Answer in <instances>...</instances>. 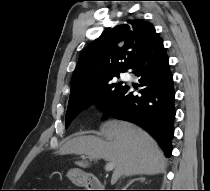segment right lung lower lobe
Masks as SVG:
<instances>
[{
    "label": "right lung lower lobe",
    "instance_id": "right-lung-lower-lobe-1",
    "mask_svg": "<svg viewBox=\"0 0 210 191\" xmlns=\"http://www.w3.org/2000/svg\"><path fill=\"white\" fill-rule=\"evenodd\" d=\"M130 69L140 77L143 87L140 94L133 95L132 88L125 86L108 105L102 119L112 116L137 123L157 140L169 157L176 113L175 91L168 57L159 36L137 57Z\"/></svg>",
    "mask_w": 210,
    "mask_h": 191
}]
</instances>
